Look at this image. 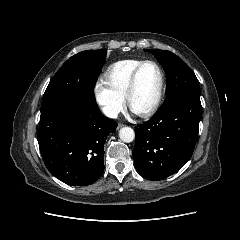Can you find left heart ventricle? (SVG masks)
I'll list each match as a JSON object with an SVG mask.
<instances>
[{
  "mask_svg": "<svg viewBox=\"0 0 240 240\" xmlns=\"http://www.w3.org/2000/svg\"><path fill=\"white\" fill-rule=\"evenodd\" d=\"M159 73L154 65H145L139 72L136 88L131 98V108L135 112L148 109L159 88Z\"/></svg>",
  "mask_w": 240,
  "mask_h": 240,
  "instance_id": "left-heart-ventricle-1",
  "label": "left heart ventricle"
}]
</instances>
